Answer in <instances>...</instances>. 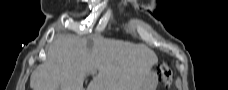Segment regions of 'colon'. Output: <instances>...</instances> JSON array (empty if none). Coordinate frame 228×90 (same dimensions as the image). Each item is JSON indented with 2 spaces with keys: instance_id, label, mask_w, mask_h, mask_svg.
I'll use <instances>...</instances> for the list:
<instances>
[{
  "instance_id": "1",
  "label": "colon",
  "mask_w": 228,
  "mask_h": 90,
  "mask_svg": "<svg viewBox=\"0 0 228 90\" xmlns=\"http://www.w3.org/2000/svg\"><path fill=\"white\" fill-rule=\"evenodd\" d=\"M160 76L164 84V88L168 89L172 84V71L167 64H162L160 67Z\"/></svg>"
}]
</instances>
